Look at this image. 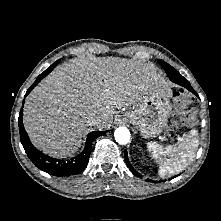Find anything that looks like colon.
<instances>
[{"instance_id": "5ec220e1", "label": "colon", "mask_w": 221, "mask_h": 221, "mask_svg": "<svg viewBox=\"0 0 221 221\" xmlns=\"http://www.w3.org/2000/svg\"><path fill=\"white\" fill-rule=\"evenodd\" d=\"M189 102V96L185 92H179L175 97V108L182 114L184 121L192 119V114L186 112Z\"/></svg>"}]
</instances>
